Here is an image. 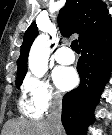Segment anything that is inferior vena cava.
<instances>
[{
	"mask_svg": "<svg viewBox=\"0 0 112 135\" xmlns=\"http://www.w3.org/2000/svg\"><path fill=\"white\" fill-rule=\"evenodd\" d=\"M61 110L62 101L61 98L56 97L50 107V113L48 115L47 121L52 127L53 135H62V123H61Z\"/></svg>",
	"mask_w": 112,
	"mask_h": 135,
	"instance_id": "602c4592",
	"label": "inferior vena cava"
}]
</instances>
